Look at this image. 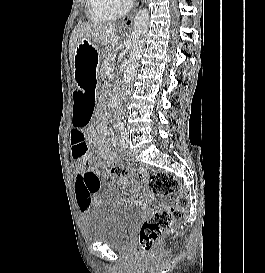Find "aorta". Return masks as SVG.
<instances>
[{"instance_id":"762f6f07","label":"aorta","mask_w":265,"mask_h":273,"mask_svg":"<svg viewBox=\"0 0 265 273\" xmlns=\"http://www.w3.org/2000/svg\"><path fill=\"white\" fill-rule=\"evenodd\" d=\"M149 13L147 9H140L133 21L132 42L130 55L123 71V80L130 82L137 71L138 63L142 54L145 37L148 31Z\"/></svg>"}]
</instances>
